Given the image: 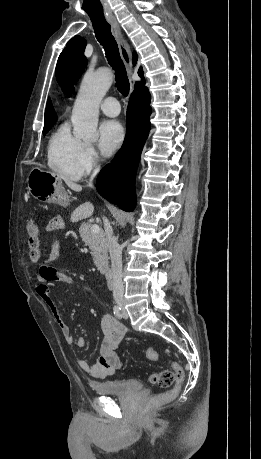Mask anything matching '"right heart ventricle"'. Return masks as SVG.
<instances>
[{
    "label": "right heart ventricle",
    "instance_id": "1",
    "mask_svg": "<svg viewBox=\"0 0 261 459\" xmlns=\"http://www.w3.org/2000/svg\"><path fill=\"white\" fill-rule=\"evenodd\" d=\"M82 147L83 143L72 135L68 124H61L48 140L49 168L66 179L78 180L82 176L78 165Z\"/></svg>",
    "mask_w": 261,
    "mask_h": 459
}]
</instances>
